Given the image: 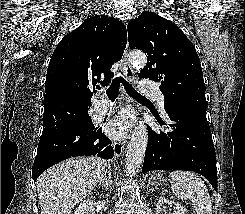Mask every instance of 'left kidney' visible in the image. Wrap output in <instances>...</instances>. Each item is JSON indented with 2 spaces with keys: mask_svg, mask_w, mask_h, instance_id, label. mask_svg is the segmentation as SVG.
<instances>
[{
  "mask_svg": "<svg viewBox=\"0 0 245 214\" xmlns=\"http://www.w3.org/2000/svg\"><path fill=\"white\" fill-rule=\"evenodd\" d=\"M167 205L169 207H174V212L172 214H186L184 207H182L180 203L165 197L159 199L156 207V214H166Z\"/></svg>",
  "mask_w": 245,
  "mask_h": 214,
  "instance_id": "obj_1",
  "label": "left kidney"
}]
</instances>
